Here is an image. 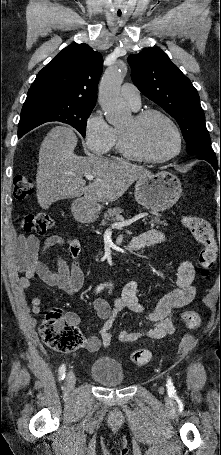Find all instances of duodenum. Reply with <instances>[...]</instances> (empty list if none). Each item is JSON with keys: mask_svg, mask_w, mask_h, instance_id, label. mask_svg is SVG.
<instances>
[{"mask_svg": "<svg viewBox=\"0 0 221 455\" xmlns=\"http://www.w3.org/2000/svg\"><path fill=\"white\" fill-rule=\"evenodd\" d=\"M76 214H77V218L80 220L85 219L87 217V215L84 212L82 207L76 208ZM141 247H142V243L137 238H133L132 241L128 245L129 250H137Z\"/></svg>", "mask_w": 221, "mask_h": 455, "instance_id": "1", "label": "duodenum"}]
</instances>
